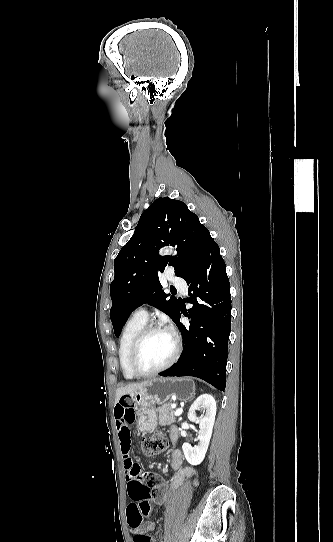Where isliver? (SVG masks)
<instances>
[{"label": "liver", "mask_w": 333, "mask_h": 542, "mask_svg": "<svg viewBox=\"0 0 333 542\" xmlns=\"http://www.w3.org/2000/svg\"><path fill=\"white\" fill-rule=\"evenodd\" d=\"M148 384L149 382H141V384H128V386H125V388H117L115 404H118L122 396H126V394H134V392H137V390H143V388L148 386Z\"/></svg>", "instance_id": "6515ba94"}]
</instances>
